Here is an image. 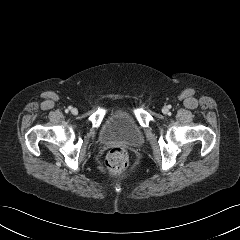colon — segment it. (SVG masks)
I'll return each instance as SVG.
<instances>
[{
  "label": "colon",
  "instance_id": "colon-1",
  "mask_svg": "<svg viewBox=\"0 0 240 240\" xmlns=\"http://www.w3.org/2000/svg\"><path fill=\"white\" fill-rule=\"evenodd\" d=\"M129 163L125 149L114 147L109 150L105 159V166L112 175H119L125 171Z\"/></svg>",
  "mask_w": 240,
  "mask_h": 240
}]
</instances>
